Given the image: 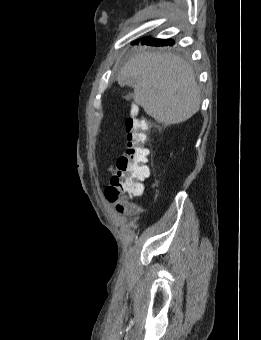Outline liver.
Returning a JSON list of instances; mask_svg holds the SVG:
<instances>
[{
    "label": "liver",
    "instance_id": "6515ba94",
    "mask_svg": "<svg viewBox=\"0 0 261 340\" xmlns=\"http://www.w3.org/2000/svg\"><path fill=\"white\" fill-rule=\"evenodd\" d=\"M132 86L134 101L158 123L179 124L200 109L201 96L192 67L182 58L157 51L132 56L117 77Z\"/></svg>",
    "mask_w": 261,
    "mask_h": 340
}]
</instances>
